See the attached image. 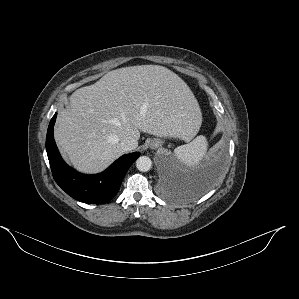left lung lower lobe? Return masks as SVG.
Masks as SVG:
<instances>
[{
    "label": "left lung lower lobe",
    "instance_id": "0a47b994",
    "mask_svg": "<svg viewBox=\"0 0 299 299\" xmlns=\"http://www.w3.org/2000/svg\"><path fill=\"white\" fill-rule=\"evenodd\" d=\"M221 169L220 159H213L200 167L193 177L192 188L197 193L210 189L217 180Z\"/></svg>",
    "mask_w": 299,
    "mask_h": 299
}]
</instances>
